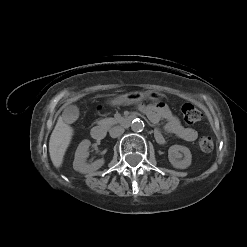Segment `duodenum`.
Returning <instances> with one entry per match:
<instances>
[{
    "mask_svg": "<svg viewBox=\"0 0 247 247\" xmlns=\"http://www.w3.org/2000/svg\"><path fill=\"white\" fill-rule=\"evenodd\" d=\"M134 119V116H126L121 120L123 126H129ZM91 136L95 140H102L106 136V129L103 126H94L91 129Z\"/></svg>",
    "mask_w": 247,
    "mask_h": 247,
    "instance_id": "obj_1",
    "label": "duodenum"
}]
</instances>
